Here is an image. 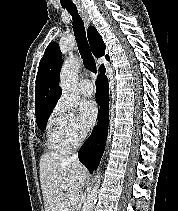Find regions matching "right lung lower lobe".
Masks as SVG:
<instances>
[{
  "label": "right lung lower lobe",
  "instance_id": "obj_1",
  "mask_svg": "<svg viewBox=\"0 0 178 211\" xmlns=\"http://www.w3.org/2000/svg\"><path fill=\"white\" fill-rule=\"evenodd\" d=\"M96 100L102 110L97 126L78 152L81 163L92 173L96 170L105 149L108 133L109 86L105 72L97 79Z\"/></svg>",
  "mask_w": 178,
  "mask_h": 211
}]
</instances>
